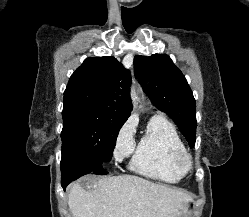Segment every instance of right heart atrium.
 Returning a JSON list of instances; mask_svg holds the SVG:
<instances>
[{"label":"right heart atrium","instance_id":"obj_1","mask_svg":"<svg viewBox=\"0 0 249 217\" xmlns=\"http://www.w3.org/2000/svg\"><path fill=\"white\" fill-rule=\"evenodd\" d=\"M136 124L132 118H129L117 132L113 155L117 162H122L130 156L135 146Z\"/></svg>","mask_w":249,"mask_h":217}]
</instances>
